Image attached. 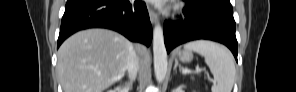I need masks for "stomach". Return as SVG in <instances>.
Here are the masks:
<instances>
[{
    "mask_svg": "<svg viewBox=\"0 0 296 92\" xmlns=\"http://www.w3.org/2000/svg\"><path fill=\"white\" fill-rule=\"evenodd\" d=\"M177 57L178 59L183 62V63H189L192 61L193 59V54L191 51L189 50H178L177 51Z\"/></svg>",
    "mask_w": 296,
    "mask_h": 92,
    "instance_id": "obj_1",
    "label": "stomach"
}]
</instances>
